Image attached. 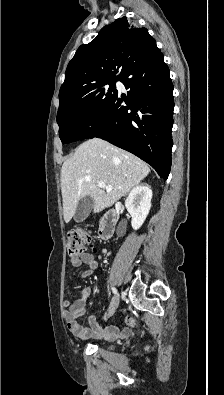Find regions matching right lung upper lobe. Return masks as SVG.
Wrapping results in <instances>:
<instances>
[{"mask_svg":"<svg viewBox=\"0 0 224 395\" xmlns=\"http://www.w3.org/2000/svg\"><path fill=\"white\" fill-rule=\"evenodd\" d=\"M154 47L156 42L147 29L126 17L104 26L94 40L78 48L69 62L59 92L60 103L96 84L121 79L136 60Z\"/></svg>","mask_w":224,"mask_h":395,"instance_id":"cb5924a9","label":"right lung upper lobe"}]
</instances>
